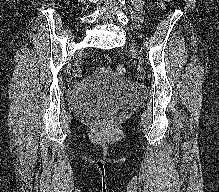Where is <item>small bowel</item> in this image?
<instances>
[{
  "instance_id": "1",
  "label": "small bowel",
  "mask_w": 219,
  "mask_h": 192,
  "mask_svg": "<svg viewBox=\"0 0 219 192\" xmlns=\"http://www.w3.org/2000/svg\"><path fill=\"white\" fill-rule=\"evenodd\" d=\"M109 71H110V68H108V67L101 69V72H104V73H108ZM79 74H80V72H79Z\"/></svg>"
}]
</instances>
